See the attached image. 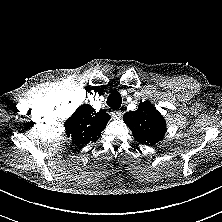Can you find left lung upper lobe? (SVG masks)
I'll list each match as a JSON object with an SVG mask.
<instances>
[{
    "label": "left lung upper lobe",
    "mask_w": 222,
    "mask_h": 222,
    "mask_svg": "<svg viewBox=\"0 0 222 222\" xmlns=\"http://www.w3.org/2000/svg\"><path fill=\"white\" fill-rule=\"evenodd\" d=\"M124 122L132 131L135 140L145 145H155L166 132V121L148 102L140 103L136 111L124 114Z\"/></svg>",
    "instance_id": "left-lung-upper-lobe-1"
}]
</instances>
